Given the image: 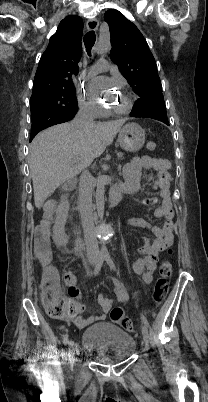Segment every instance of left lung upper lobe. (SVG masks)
I'll use <instances>...</instances> for the list:
<instances>
[{
	"label": "left lung upper lobe",
	"instance_id": "1",
	"mask_svg": "<svg viewBox=\"0 0 208 402\" xmlns=\"http://www.w3.org/2000/svg\"><path fill=\"white\" fill-rule=\"evenodd\" d=\"M112 49L110 57L139 99L131 114L168 122L155 59L138 28L117 10H108Z\"/></svg>",
	"mask_w": 208,
	"mask_h": 402
}]
</instances>
